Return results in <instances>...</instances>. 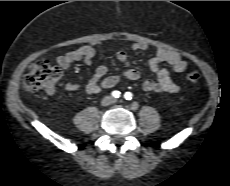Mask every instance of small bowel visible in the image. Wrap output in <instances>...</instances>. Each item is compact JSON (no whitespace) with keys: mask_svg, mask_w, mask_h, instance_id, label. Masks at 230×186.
Wrapping results in <instances>:
<instances>
[{"mask_svg":"<svg viewBox=\"0 0 230 186\" xmlns=\"http://www.w3.org/2000/svg\"><path fill=\"white\" fill-rule=\"evenodd\" d=\"M145 43H134L131 46L132 52L147 50ZM96 54L94 44L84 45L76 50L60 55L56 58V62L63 69H68L72 63L82 61L87 65H91ZM117 60L123 65L124 71L120 75H109L108 67L99 65L96 67L91 79L85 85V92L88 95H95L103 89L115 87L122 79L136 81L141 78L138 70L130 67L128 53L119 50L116 54ZM162 63H167V67H161ZM149 67L155 74L156 80L147 79L142 83V88L146 92H167L176 93L180 90V85L175 83L171 78V72H183L187 68V62L176 51L158 47L155 55L149 61ZM67 91L73 92L79 89L76 82H68L65 85Z\"/></svg>","mask_w":230,"mask_h":186,"instance_id":"1","label":"small bowel"}]
</instances>
